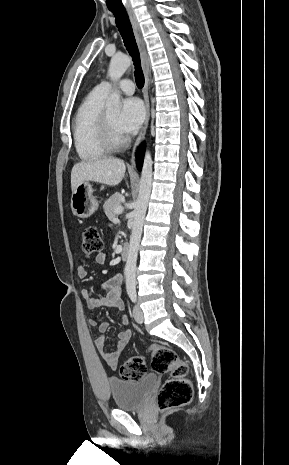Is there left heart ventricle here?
<instances>
[{
  "label": "left heart ventricle",
  "instance_id": "obj_1",
  "mask_svg": "<svg viewBox=\"0 0 289 465\" xmlns=\"http://www.w3.org/2000/svg\"><path fill=\"white\" fill-rule=\"evenodd\" d=\"M107 114H108V117H109L110 122H111L112 126L114 127V129L118 133H120V131L118 129V125H117L119 111L118 110H107Z\"/></svg>",
  "mask_w": 289,
  "mask_h": 465
}]
</instances>
